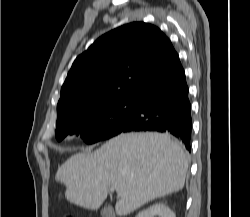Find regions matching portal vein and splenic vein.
Here are the masks:
<instances>
[{
  "mask_svg": "<svg viewBox=\"0 0 250 217\" xmlns=\"http://www.w3.org/2000/svg\"><path fill=\"white\" fill-rule=\"evenodd\" d=\"M115 188L114 187H110V191L114 192Z\"/></svg>",
  "mask_w": 250,
  "mask_h": 217,
  "instance_id": "1",
  "label": "portal vein and splenic vein"
}]
</instances>
